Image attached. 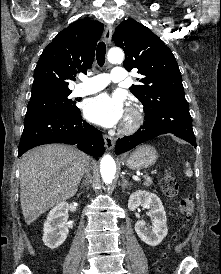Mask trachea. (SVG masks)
I'll use <instances>...</instances> for the list:
<instances>
[{
    "label": "trachea",
    "mask_w": 221,
    "mask_h": 274,
    "mask_svg": "<svg viewBox=\"0 0 221 274\" xmlns=\"http://www.w3.org/2000/svg\"><path fill=\"white\" fill-rule=\"evenodd\" d=\"M106 45L104 42H100L96 49V60L100 67L105 63Z\"/></svg>",
    "instance_id": "3493384b"
}]
</instances>
